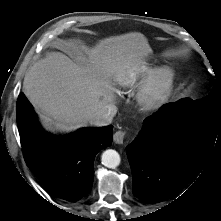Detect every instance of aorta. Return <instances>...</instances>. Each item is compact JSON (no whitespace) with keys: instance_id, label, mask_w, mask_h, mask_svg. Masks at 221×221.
<instances>
[{"instance_id":"1","label":"aorta","mask_w":221,"mask_h":221,"mask_svg":"<svg viewBox=\"0 0 221 221\" xmlns=\"http://www.w3.org/2000/svg\"><path fill=\"white\" fill-rule=\"evenodd\" d=\"M102 164L107 168H116L120 164V155L113 149H108L102 154Z\"/></svg>"}]
</instances>
